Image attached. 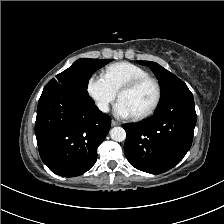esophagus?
Returning a JSON list of instances; mask_svg holds the SVG:
<instances>
[{
	"label": "esophagus",
	"instance_id": "obj_1",
	"mask_svg": "<svg viewBox=\"0 0 224 224\" xmlns=\"http://www.w3.org/2000/svg\"><path fill=\"white\" fill-rule=\"evenodd\" d=\"M111 125H112V126H118V125H120V123L117 122V121H115V120H112V121H111Z\"/></svg>",
	"mask_w": 224,
	"mask_h": 224
}]
</instances>
